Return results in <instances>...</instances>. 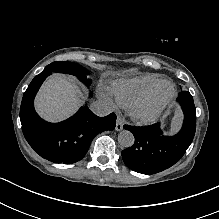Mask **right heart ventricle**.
I'll return each mask as SVG.
<instances>
[{
  "mask_svg": "<svg viewBox=\"0 0 219 219\" xmlns=\"http://www.w3.org/2000/svg\"><path fill=\"white\" fill-rule=\"evenodd\" d=\"M159 81L160 78L154 74L123 79L113 84L112 93L122 106L131 107Z\"/></svg>",
  "mask_w": 219,
  "mask_h": 219,
  "instance_id": "1",
  "label": "right heart ventricle"
}]
</instances>
